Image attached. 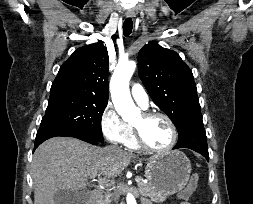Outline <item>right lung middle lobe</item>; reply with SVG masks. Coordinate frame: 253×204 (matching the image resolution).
<instances>
[{"label":"right lung middle lobe","mask_w":253,"mask_h":204,"mask_svg":"<svg viewBox=\"0 0 253 204\" xmlns=\"http://www.w3.org/2000/svg\"><path fill=\"white\" fill-rule=\"evenodd\" d=\"M107 102L77 89L51 88L40 127L75 131L102 142L101 118Z\"/></svg>","instance_id":"dd1d6c3e"}]
</instances>
